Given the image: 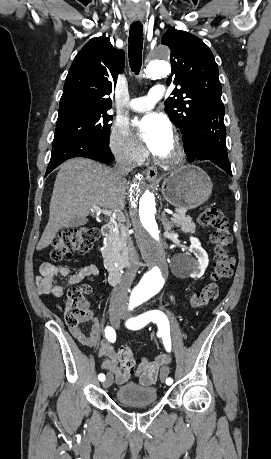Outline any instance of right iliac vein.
<instances>
[{"label":"right iliac vein","mask_w":271,"mask_h":459,"mask_svg":"<svg viewBox=\"0 0 271 459\" xmlns=\"http://www.w3.org/2000/svg\"><path fill=\"white\" fill-rule=\"evenodd\" d=\"M123 314H124V310L122 308H118V309H115V310H110L111 322L115 326H118ZM112 382H113L112 374L108 373L105 381L102 384L103 388H108L112 384Z\"/></svg>","instance_id":"1"}]
</instances>
